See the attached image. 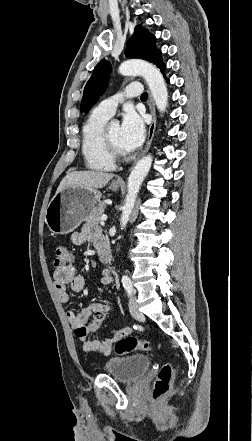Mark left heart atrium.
Instances as JSON below:
<instances>
[{
  "label": "left heart atrium",
  "instance_id": "obj_1",
  "mask_svg": "<svg viewBox=\"0 0 252 441\" xmlns=\"http://www.w3.org/2000/svg\"><path fill=\"white\" fill-rule=\"evenodd\" d=\"M143 118L133 109L127 108L120 127V147L124 152L136 150L144 141Z\"/></svg>",
  "mask_w": 252,
  "mask_h": 441
}]
</instances>
